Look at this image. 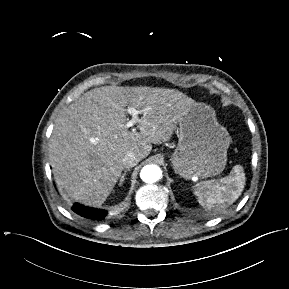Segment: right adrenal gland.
Returning a JSON list of instances; mask_svg holds the SVG:
<instances>
[{"instance_id":"right-adrenal-gland-1","label":"right adrenal gland","mask_w":289,"mask_h":289,"mask_svg":"<svg viewBox=\"0 0 289 289\" xmlns=\"http://www.w3.org/2000/svg\"><path fill=\"white\" fill-rule=\"evenodd\" d=\"M126 172L127 171H124V173L122 174L121 178H120V181H119V186H121L125 180V175H126Z\"/></svg>"}]
</instances>
